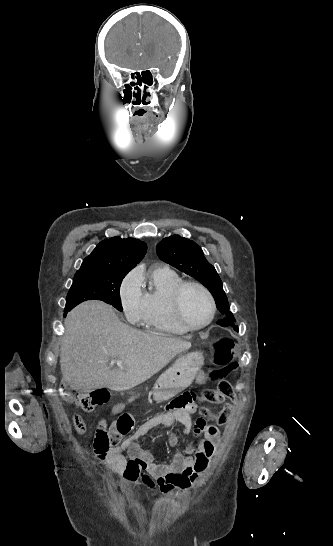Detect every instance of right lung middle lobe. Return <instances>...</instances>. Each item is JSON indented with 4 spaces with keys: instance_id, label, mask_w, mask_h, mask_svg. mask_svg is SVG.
Listing matches in <instances>:
<instances>
[{
    "instance_id": "obj_1",
    "label": "right lung middle lobe",
    "mask_w": 333,
    "mask_h": 546,
    "mask_svg": "<svg viewBox=\"0 0 333 546\" xmlns=\"http://www.w3.org/2000/svg\"><path fill=\"white\" fill-rule=\"evenodd\" d=\"M129 271L94 267L81 275H75L67 295L65 311L87 300H101L122 311L119 290L122 279Z\"/></svg>"
}]
</instances>
